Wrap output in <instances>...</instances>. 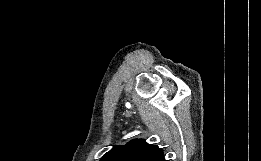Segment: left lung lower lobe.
Instances as JSON below:
<instances>
[{"label":"left lung lower lobe","instance_id":"1","mask_svg":"<svg viewBox=\"0 0 261 161\" xmlns=\"http://www.w3.org/2000/svg\"><path fill=\"white\" fill-rule=\"evenodd\" d=\"M157 161H165L164 157H163V154L157 159Z\"/></svg>","mask_w":261,"mask_h":161}]
</instances>
